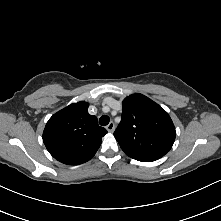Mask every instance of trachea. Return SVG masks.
I'll return each instance as SVG.
<instances>
[{"mask_svg": "<svg viewBox=\"0 0 221 221\" xmlns=\"http://www.w3.org/2000/svg\"><path fill=\"white\" fill-rule=\"evenodd\" d=\"M99 123H100L101 126H106V125H108V123H109V117L106 116V115L101 116L100 119H99Z\"/></svg>", "mask_w": 221, "mask_h": 221, "instance_id": "trachea-1", "label": "trachea"}]
</instances>
